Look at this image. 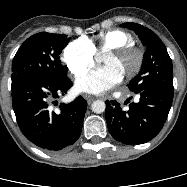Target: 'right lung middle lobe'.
<instances>
[{
	"mask_svg": "<svg viewBox=\"0 0 187 187\" xmlns=\"http://www.w3.org/2000/svg\"><path fill=\"white\" fill-rule=\"evenodd\" d=\"M70 38L63 34L40 32L23 42L12 62V84L21 79L67 78L60 54Z\"/></svg>",
	"mask_w": 187,
	"mask_h": 187,
	"instance_id": "obj_1",
	"label": "right lung middle lobe"
}]
</instances>
